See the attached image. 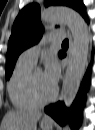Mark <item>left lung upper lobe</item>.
<instances>
[{"label": "left lung upper lobe", "instance_id": "obj_1", "mask_svg": "<svg viewBox=\"0 0 95 130\" xmlns=\"http://www.w3.org/2000/svg\"><path fill=\"white\" fill-rule=\"evenodd\" d=\"M65 5L85 14V6L82 0H46L45 5ZM43 34V26L40 22V7L38 4L27 5L17 16L12 34L8 43L6 57V79H9L19 54L28 47L36 44Z\"/></svg>", "mask_w": 95, "mask_h": 130}]
</instances>
